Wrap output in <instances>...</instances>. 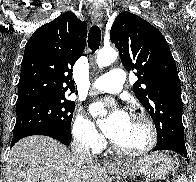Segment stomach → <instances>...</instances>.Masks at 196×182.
Wrapping results in <instances>:
<instances>
[{
  "mask_svg": "<svg viewBox=\"0 0 196 182\" xmlns=\"http://www.w3.org/2000/svg\"><path fill=\"white\" fill-rule=\"evenodd\" d=\"M172 168V158L164 153L156 152L136 161H130L109 169V171L124 179L136 177L140 174L149 178L162 179L171 172Z\"/></svg>",
  "mask_w": 196,
  "mask_h": 182,
  "instance_id": "1",
  "label": "stomach"
}]
</instances>
